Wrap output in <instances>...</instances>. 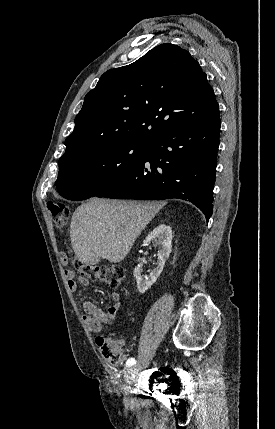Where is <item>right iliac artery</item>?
I'll return each instance as SVG.
<instances>
[{
  "mask_svg": "<svg viewBox=\"0 0 275 429\" xmlns=\"http://www.w3.org/2000/svg\"><path fill=\"white\" fill-rule=\"evenodd\" d=\"M136 363V360L134 358H129L126 362V366L127 367H131L132 365H134Z\"/></svg>",
  "mask_w": 275,
  "mask_h": 429,
  "instance_id": "right-iliac-artery-1",
  "label": "right iliac artery"
}]
</instances>
